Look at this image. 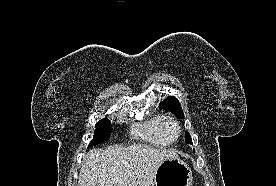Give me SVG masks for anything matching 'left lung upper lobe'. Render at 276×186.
I'll return each instance as SVG.
<instances>
[{"label": "left lung upper lobe", "mask_w": 276, "mask_h": 186, "mask_svg": "<svg viewBox=\"0 0 276 186\" xmlns=\"http://www.w3.org/2000/svg\"><path fill=\"white\" fill-rule=\"evenodd\" d=\"M160 107L171 111L179 118H184L181 105L178 99L174 96L167 97L163 102H161ZM186 143L192 144V139L188 132L186 133Z\"/></svg>", "instance_id": "obj_1"}]
</instances>
